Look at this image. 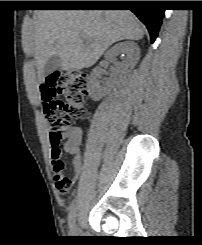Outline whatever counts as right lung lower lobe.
I'll return each instance as SVG.
<instances>
[{
	"mask_svg": "<svg viewBox=\"0 0 202 245\" xmlns=\"http://www.w3.org/2000/svg\"><path fill=\"white\" fill-rule=\"evenodd\" d=\"M80 1L82 7H130V10L143 22L153 43L158 35L164 16V9L157 1Z\"/></svg>",
	"mask_w": 202,
	"mask_h": 245,
	"instance_id": "right-lung-lower-lobe-1",
	"label": "right lung lower lobe"
}]
</instances>
